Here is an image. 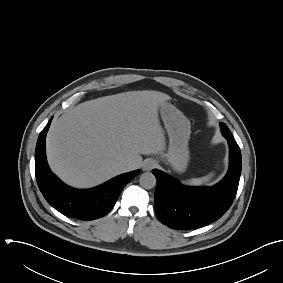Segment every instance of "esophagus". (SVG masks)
<instances>
[{
    "label": "esophagus",
    "mask_w": 283,
    "mask_h": 283,
    "mask_svg": "<svg viewBox=\"0 0 283 283\" xmlns=\"http://www.w3.org/2000/svg\"><path fill=\"white\" fill-rule=\"evenodd\" d=\"M157 166L156 161L148 159L143 163V171H151L154 167Z\"/></svg>",
    "instance_id": "1"
}]
</instances>
